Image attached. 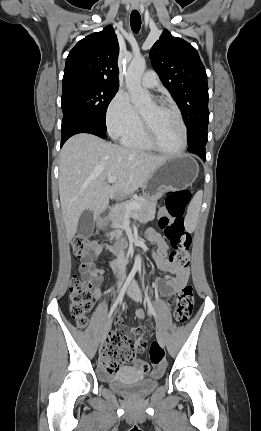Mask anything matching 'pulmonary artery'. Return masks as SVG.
Segmentation results:
<instances>
[{"instance_id": "e3ab8cb5", "label": "pulmonary artery", "mask_w": 261, "mask_h": 431, "mask_svg": "<svg viewBox=\"0 0 261 431\" xmlns=\"http://www.w3.org/2000/svg\"><path fill=\"white\" fill-rule=\"evenodd\" d=\"M141 83L144 87L148 88V89H153L158 85V77L157 74L150 70L147 71L142 79H141Z\"/></svg>"}]
</instances>
